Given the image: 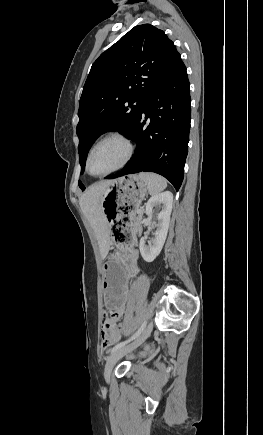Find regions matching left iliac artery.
Instances as JSON below:
<instances>
[{
  "mask_svg": "<svg viewBox=\"0 0 263 435\" xmlns=\"http://www.w3.org/2000/svg\"><path fill=\"white\" fill-rule=\"evenodd\" d=\"M147 322L145 321L140 328L137 330V332L135 334H133L128 340L123 341L121 343H118L117 345H115L112 349H111V353L115 352L116 350L124 347L126 344L130 343L131 341L135 340L145 329Z\"/></svg>",
  "mask_w": 263,
  "mask_h": 435,
  "instance_id": "left-iliac-artery-1",
  "label": "left iliac artery"
}]
</instances>
